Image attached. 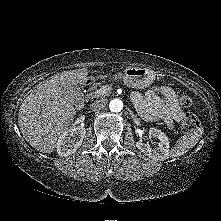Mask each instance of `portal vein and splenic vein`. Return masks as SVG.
Masks as SVG:
<instances>
[{
	"label": "portal vein and splenic vein",
	"mask_w": 221,
	"mask_h": 221,
	"mask_svg": "<svg viewBox=\"0 0 221 221\" xmlns=\"http://www.w3.org/2000/svg\"><path fill=\"white\" fill-rule=\"evenodd\" d=\"M107 88L104 86L98 90L99 93H106Z\"/></svg>",
	"instance_id": "18ae733b"
}]
</instances>
